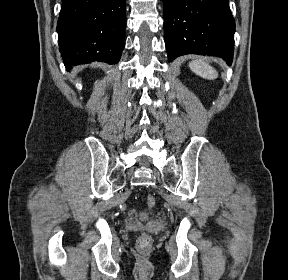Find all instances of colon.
Segmentation results:
<instances>
[{
	"mask_svg": "<svg viewBox=\"0 0 288 280\" xmlns=\"http://www.w3.org/2000/svg\"><path fill=\"white\" fill-rule=\"evenodd\" d=\"M146 204L149 208H153L156 204V199L153 195H148L146 197ZM150 243V238L147 235H143L141 236L140 240H139V246L140 248L144 249L146 248Z\"/></svg>",
	"mask_w": 288,
	"mask_h": 280,
	"instance_id": "5ec220e1",
	"label": "colon"
}]
</instances>
